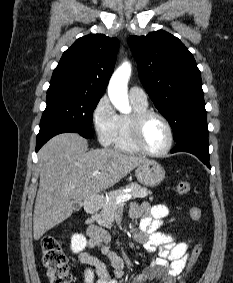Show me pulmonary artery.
<instances>
[{
  "label": "pulmonary artery",
  "instance_id": "1",
  "mask_svg": "<svg viewBox=\"0 0 233 283\" xmlns=\"http://www.w3.org/2000/svg\"><path fill=\"white\" fill-rule=\"evenodd\" d=\"M129 99L131 102L138 104H147V95L139 87L133 86L129 90Z\"/></svg>",
  "mask_w": 233,
  "mask_h": 283
}]
</instances>
